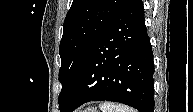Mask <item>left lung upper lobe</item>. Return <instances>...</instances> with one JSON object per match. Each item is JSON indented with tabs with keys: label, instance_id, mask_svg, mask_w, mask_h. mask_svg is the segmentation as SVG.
Segmentation results:
<instances>
[{
	"label": "left lung upper lobe",
	"instance_id": "obj_1",
	"mask_svg": "<svg viewBox=\"0 0 193 112\" xmlns=\"http://www.w3.org/2000/svg\"><path fill=\"white\" fill-rule=\"evenodd\" d=\"M132 0H73L63 24L59 54V106L79 74L94 44Z\"/></svg>",
	"mask_w": 193,
	"mask_h": 112
}]
</instances>
